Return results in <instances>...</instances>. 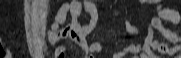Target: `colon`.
Instances as JSON below:
<instances>
[{"label":"colon","mask_w":181,"mask_h":58,"mask_svg":"<svg viewBox=\"0 0 181 58\" xmlns=\"http://www.w3.org/2000/svg\"><path fill=\"white\" fill-rule=\"evenodd\" d=\"M58 58H63L64 57V55H60V56H57Z\"/></svg>","instance_id":"obj_1"}]
</instances>
